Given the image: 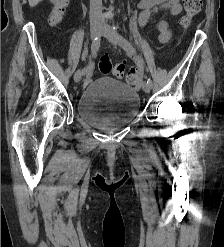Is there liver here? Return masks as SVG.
<instances>
[{"instance_id":"liver-1","label":"liver","mask_w":224,"mask_h":247,"mask_svg":"<svg viewBox=\"0 0 224 247\" xmlns=\"http://www.w3.org/2000/svg\"><path fill=\"white\" fill-rule=\"evenodd\" d=\"M29 2V6H31V8H34V6H37V4H39V2H42V0H28Z\"/></svg>"}]
</instances>
